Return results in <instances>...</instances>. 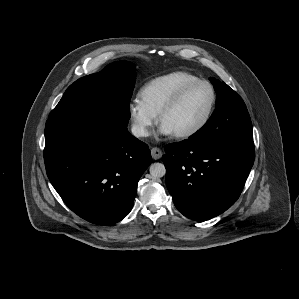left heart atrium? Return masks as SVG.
I'll use <instances>...</instances> for the list:
<instances>
[{
    "instance_id": "obj_1",
    "label": "left heart atrium",
    "mask_w": 299,
    "mask_h": 299,
    "mask_svg": "<svg viewBox=\"0 0 299 299\" xmlns=\"http://www.w3.org/2000/svg\"><path fill=\"white\" fill-rule=\"evenodd\" d=\"M159 134L161 136H171V135H173V133L170 130H168L166 127H164L163 125L160 126Z\"/></svg>"
}]
</instances>
